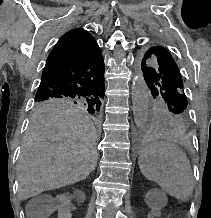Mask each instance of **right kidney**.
Returning a JSON list of instances; mask_svg holds the SVG:
<instances>
[{"label": "right kidney", "instance_id": "1", "mask_svg": "<svg viewBox=\"0 0 211 218\" xmlns=\"http://www.w3.org/2000/svg\"><path fill=\"white\" fill-rule=\"evenodd\" d=\"M74 201L75 198H68V193H61V197H52V202H58V206H55L54 210L58 211L60 215H56V218H72Z\"/></svg>", "mask_w": 211, "mask_h": 218}]
</instances>
